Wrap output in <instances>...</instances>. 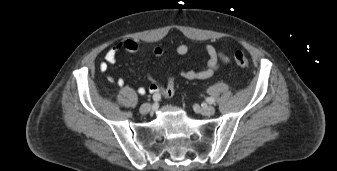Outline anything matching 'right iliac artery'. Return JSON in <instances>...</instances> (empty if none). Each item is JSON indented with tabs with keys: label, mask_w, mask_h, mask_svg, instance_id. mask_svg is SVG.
<instances>
[{
	"label": "right iliac artery",
	"mask_w": 337,
	"mask_h": 171,
	"mask_svg": "<svg viewBox=\"0 0 337 171\" xmlns=\"http://www.w3.org/2000/svg\"><path fill=\"white\" fill-rule=\"evenodd\" d=\"M160 95L159 94H155V95H153V101H155V102H157V101H159L160 100Z\"/></svg>",
	"instance_id": "1"
}]
</instances>
